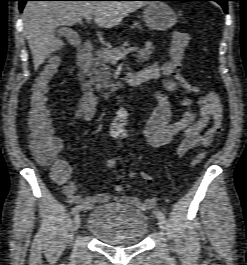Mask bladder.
<instances>
[{"instance_id":"obj_1","label":"bladder","mask_w":247,"mask_h":265,"mask_svg":"<svg viewBox=\"0 0 247 265\" xmlns=\"http://www.w3.org/2000/svg\"><path fill=\"white\" fill-rule=\"evenodd\" d=\"M87 230L102 243L129 246L144 240L148 220L146 214L132 206L107 202L90 212Z\"/></svg>"}]
</instances>
